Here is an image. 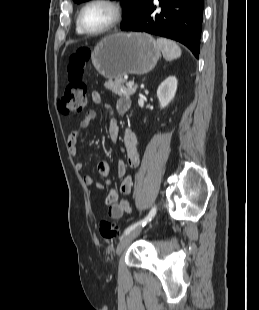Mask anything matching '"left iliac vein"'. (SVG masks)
Returning <instances> with one entry per match:
<instances>
[{
    "label": "left iliac vein",
    "instance_id": "1",
    "mask_svg": "<svg viewBox=\"0 0 259 310\" xmlns=\"http://www.w3.org/2000/svg\"><path fill=\"white\" fill-rule=\"evenodd\" d=\"M143 226H138L130 233L125 235L118 243L116 254L120 255L128 246L129 244L141 233Z\"/></svg>",
    "mask_w": 259,
    "mask_h": 310
}]
</instances>
